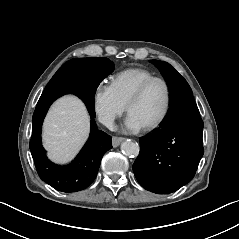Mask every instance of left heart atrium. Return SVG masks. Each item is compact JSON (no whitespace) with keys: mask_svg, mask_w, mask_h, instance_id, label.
Returning <instances> with one entry per match:
<instances>
[{"mask_svg":"<svg viewBox=\"0 0 239 239\" xmlns=\"http://www.w3.org/2000/svg\"><path fill=\"white\" fill-rule=\"evenodd\" d=\"M126 127L131 132H138L144 128L143 124L132 114H128L126 119Z\"/></svg>","mask_w":239,"mask_h":239,"instance_id":"39dd6f15","label":"left heart atrium"}]
</instances>
